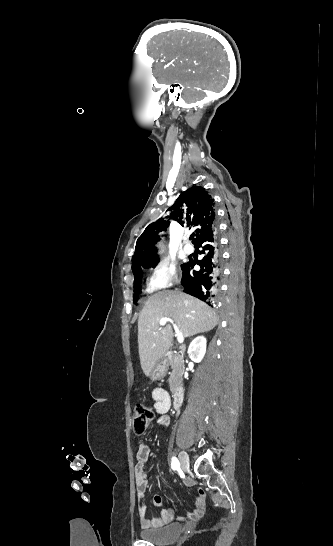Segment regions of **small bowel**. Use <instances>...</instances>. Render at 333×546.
<instances>
[{
  "label": "small bowel",
  "mask_w": 333,
  "mask_h": 546,
  "mask_svg": "<svg viewBox=\"0 0 333 546\" xmlns=\"http://www.w3.org/2000/svg\"><path fill=\"white\" fill-rule=\"evenodd\" d=\"M152 398L154 400V408L159 415L158 424L162 427H166L169 424V417L167 412L171 407V397L168 392L163 388H155L152 391ZM150 450L147 445L141 443L137 451V464L135 466V482H136V498L138 503V515L140 525L143 528H159L169 524L174 518V511L172 509H164L161 512L159 518L149 519L145 512V492L148 488L150 475L145 469L146 462L148 461ZM185 485L190 486V480L185 481ZM154 504L161 505L163 502L162 495L154 496ZM206 495L202 489L197 490V496L195 501V507L188 514L190 520H198L205 512Z\"/></svg>",
  "instance_id": "small-bowel-1"
}]
</instances>
